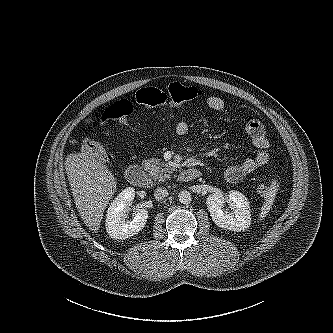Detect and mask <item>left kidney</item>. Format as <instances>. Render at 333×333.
Returning <instances> with one entry per match:
<instances>
[{
  "label": "left kidney",
  "instance_id": "obj_1",
  "mask_svg": "<svg viewBox=\"0 0 333 333\" xmlns=\"http://www.w3.org/2000/svg\"><path fill=\"white\" fill-rule=\"evenodd\" d=\"M226 201L229 203L231 211L225 208ZM206 204L212 220L218 227L236 232L249 228L250 205L241 192L230 191L227 200L222 193L211 194L207 197Z\"/></svg>",
  "mask_w": 333,
  "mask_h": 333
}]
</instances>
